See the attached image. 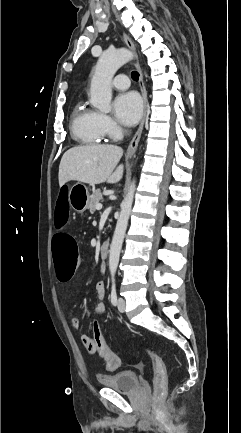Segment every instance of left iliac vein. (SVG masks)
Here are the masks:
<instances>
[{"mask_svg": "<svg viewBox=\"0 0 241 433\" xmlns=\"http://www.w3.org/2000/svg\"><path fill=\"white\" fill-rule=\"evenodd\" d=\"M117 307H118V310L120 312H124L125 311L126 304H125V300L123 298L120 297L118 299Z\"/></svg>", "mask_w": 241, "mask_h": 433, "instance_id": "4c4485c4", "label": "left iliac vein"}]
</instances>
